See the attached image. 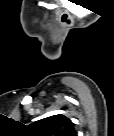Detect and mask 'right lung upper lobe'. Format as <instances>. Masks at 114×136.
Returning <instances> with one entry per match:
<instances>
[{
	"mask_svg": "<svg viewBox=\"0 0 114 136\" xmlns=\"http://www.w3.org/2000/svg\"><path fill=\"white\" fill-rule=\"evenodd\" d=\"M36 136H77L74 124L64 115H53L29 125Z\"/></svg>",
	"mask_w": 114,
	"mask_h": 136,
	"instance_id": "cb5924a9",
	"label": "right lung upper lobe"
}]
</instances>
